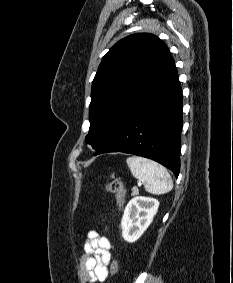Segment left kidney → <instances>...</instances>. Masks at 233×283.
Listing matches in <instances>:
<instances>
[{"mask_svg": "<svg viewBox=\"0 0 233 283\" xmlns=\"http://www.w3.org/2000/svg\"><path fill=\"white\" fill-rule=\"evenodd\" d=\"M159 202L154 198L138 196L127 204L121 220L122 237L135 242L153 221Z\"/></svg>", "mask_w": 233, "mask_h": 283, "instance_id": "obj_1", "label": "left kidney"}]
</instances>
